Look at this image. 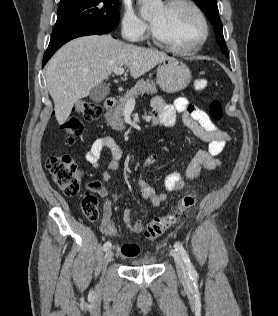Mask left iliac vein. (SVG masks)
Segmentation results:
<instances>
[{
    "mask_svg": "<svg viewBox=\"0 0 278 316\" xmlns=\"http://www.w3.org/2000/svg\"><path fill=\"white\" fill-rule=\"evenodd\" d=\"M172 256L174 258L178 274L181 277H184V278L187 277V269H186V266H185L181 256L176 252H173Z\"/></svg>",
    "mask_w": 278,
    "mask_h": 316,
    "instance_id": "obj_1",
    "label": "left iliac vein"
}]
</instances>
